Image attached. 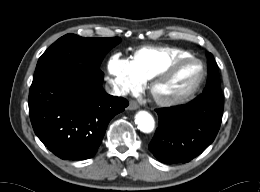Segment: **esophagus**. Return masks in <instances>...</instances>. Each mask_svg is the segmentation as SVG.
<instances>
[{
    "instance_id": "obj_1",
    "label": "esophagus",
    "mask_w": 260,
    "mask_h": 192,
    "mask_svg": "<svg viewBox=\"0 0 260 192\" xmlns=\"http://www.w3.org/2000/svg\"><path fill=\"white\" fill-rule=\"evenodd\" d=\"M138 108H139V104H138L136 101L131 100V101L129 102V109H130V110H136V109H138Z\"/></svg>"
}]
</instances>
